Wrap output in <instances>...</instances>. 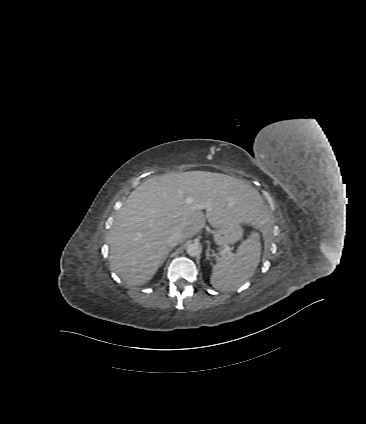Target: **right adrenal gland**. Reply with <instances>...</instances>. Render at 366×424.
Masks as SVG:
<instances>
[{
  "label": "right adrenal gland",
  "mask_w": 366,
  "mask_h": 424,
  "mask_svg": "<svg viewBox=\"0 0 366 424\" xmlns=\"http://www.w3.org/2000/svg\"><path fill=\"white\" fill-rule=\"evenodd\" d=\"M171 251H172V249H168L167 255L165 256V258H164V260H163V263H164V261L166 260V258H167V256H168V254H169Z\"/></svg>",
  "instance_id": "1"
}]
</instances>
